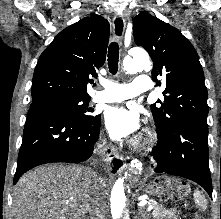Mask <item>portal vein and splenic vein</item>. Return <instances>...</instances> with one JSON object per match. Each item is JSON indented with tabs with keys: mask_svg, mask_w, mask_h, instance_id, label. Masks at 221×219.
Here are the masks:
<instances>
[{
	"mask_svg": "<svg viewBox=\"0 0 221 219\" xmlns=\"http://www.w3.org/2000/svg\"><path fill=\"white\" fill-rule=\"evenodd\" d=\"M144 202H141L140 206L143 205ZM153 209V206L152 205H149V207L147 208V211H151Z\"/></svg>",
	"mask_w": 221,
	"mask_h": 219,
	"instance_id": "obj_1",
	"label": "portal vein and splenic vein"
}]
</instances>
